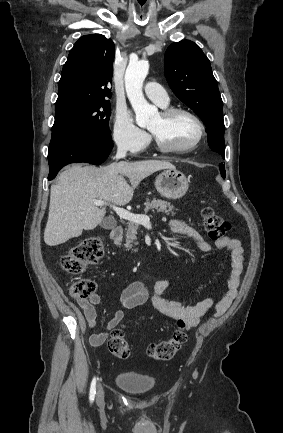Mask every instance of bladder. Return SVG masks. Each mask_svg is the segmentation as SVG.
Wrapping results in <instances>:
<instances>
[{
  "label": "bladder",
  "instance_id": "31cf9c89",
  "mask_svg": "<svg viewBox=\"0 0 283 433\" xmlns=\"http://www.w3.org/2000/svg\"><path fill=\"white\" fill-rule=\"evenodd\" d=\"M116 384L129 393H146L155 385L153 375L122 370L116 378Z\"/></svg>",
  "mask_w": 283,
  "mask_h": 433
}]
</instances>
